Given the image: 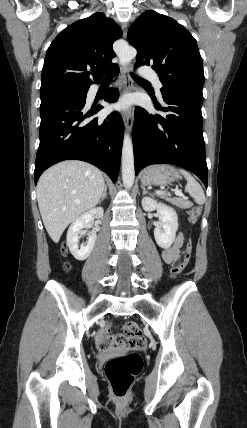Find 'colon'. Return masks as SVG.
Returning a JSON list of instances; mask_svg holds the SVG:
<instances>
[{
	"instance_id": "obj_1",
	"label": "colon",
	"mask_w": 247,
	"mask_h": 428,
	"mask_svg": "<svg viewBox=\"0 0 247 428\" xmlns=\"http://www.w3.org/2000/svg\"><path fill=\"white\" fill-rule=\"evenodd\" d=\"M201 213V209L195 206L189 211V219L191 223H196ZM192 243L187 242L182 260L174 265L171 269V274L174 278L178 277L186 267L192 254ZM62 251L66 252V247H62ZM65 269L69 270L70 266L65 264ZM147 341L139 326L134 322H128L123 327V332L113 335L110 333L109 327L102 331V336L99 339L98 346L102 350L111 349L113 347L129 348L134 351L142 350L146 347ZM142 368L141 357L137 353L113 357L107 361L105 365V375L111 386L113 394L117 398H123L128 393L135 377L139 374Z\"/></svg>"
}]
</instances>
